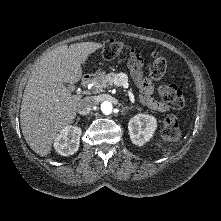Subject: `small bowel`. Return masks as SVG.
Instances as JSON below:
<instances>
[{
  "label": "small bowel",
  "instance_id": "obj_1",
  "mask_svg": "<svg viewBox=\"0 0 221 221\" xmlns=\"http://www.w3.org/2000/svg\"><path fill=\"white\" fill-rule=\"evenodd\" d=\"M127 65L131 71L134 82L139 88L142 103L158 112L168 111L169 108L167 104L153 98L154 87L150 82L144 80L142 76L143 59L141 55L132 53Z\"/></svg>",
  "mask_w": 221,
  "mask_h": 221
}]
</instances>
